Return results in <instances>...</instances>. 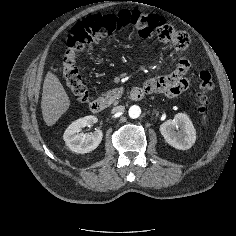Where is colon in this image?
Here are the masks:
<instances>
[{"mask_svg": "<svg viewBox=\"0 0 236 236\" xmlns=\"http://www.w3.org/2000/svg\"><path fill=\"white\" fill-rule=\"evenodd\" d=\"M132 26L142 39L158 38L164 42L183 43L180 32L160 15L140 12L137 10H122L112 14H96L77 22L67 36V51L62 60V77L71 94L79 101L86 102L89 92L84 79L76 66V54L99 40L111 37L114 33ZM187 84L181 82L179 90L186 89ZM214 84L210 72L199 73L198 102L201 112L207 110L209 95Z\"/></svg>", "mask_w": 236, "mask_h": 236, "instance_id": "colon-1", "label": "colon"}]
</instances>
